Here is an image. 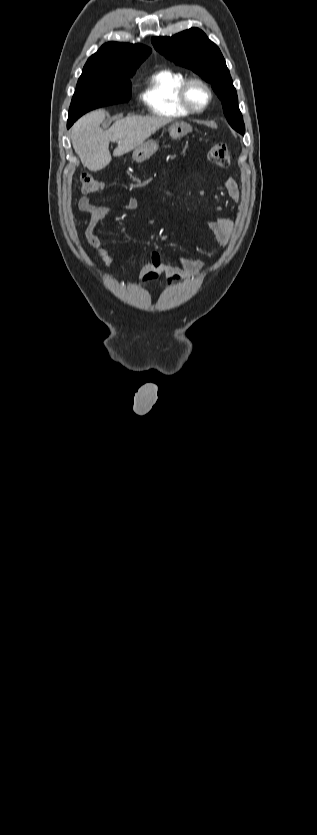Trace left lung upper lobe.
I'll return each instance as SVG.
<instances>
[{"label":"left lung upper lobe","instance_id":"obj_1","mask_svg":"<svg viewBox=\"0 0 317 835\" xmlns=\"http://www.w3.org/2000/svg\"><path fill=\"white\" fill-rule=\"evenodd\" d=\"M154 48L176 64L191 69L212 84L222 102L228 123L240 134L245 125L238 107V98L224 57L216 44L198 28H191L172 37L151 39Z\"/></svg>","mask_w":317,"mask_h":835}]
</instances>
